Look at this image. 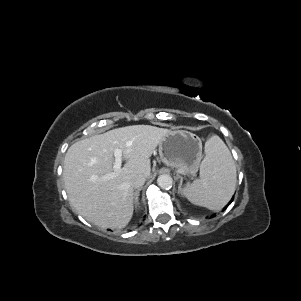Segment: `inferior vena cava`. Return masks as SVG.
I'll use <instances>...</instances> for the list:
<instances>
[{"mask_svg": "<svg viewBox=\"0 0 301 301\" xmlns=\"http://www.w3.org/2000/svg\"><path fill=\"white\" fill-rule=\"evenodd\" d=\"M146 178H147V176L144 174L136 175L131 181L132 187L139 189L140 187H142L144 185Z\"/></svg>", "mask_w": 301, "mask_h": 301, "instance_id": "obj_1", "label": "inferior vena cava"}]
</instances>
